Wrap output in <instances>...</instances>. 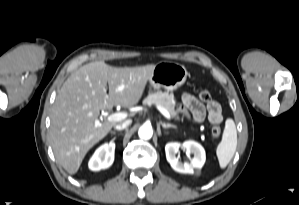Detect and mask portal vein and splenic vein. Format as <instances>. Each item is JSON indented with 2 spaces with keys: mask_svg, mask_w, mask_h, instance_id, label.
Masks as SVG:
<instances>
[{
  "mask_svg": "<svg viewBox=\"0 0 299 205\" xmlns=\"http://www.w3.org/2000/svg\"><path fill=\"white\" fill-rule=\"evenodd\" d=\"M157 108L165 118H167V119L171 118L170 113L166 109H164L161 106H157ZM126 116L127 115L125 113H122V112L113 113V114H110V115L107 116V121H109V122H119V121L125 119Z\"/></svg>",
  "mask_w": 299,
  "mask_h": 205,
  "instance_id": "portal-vein-and-splenic-vein-1",
  "label": "portal vein and splenic vein"
}]
</instances>
